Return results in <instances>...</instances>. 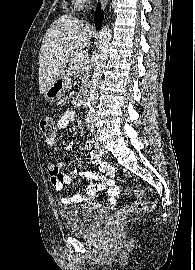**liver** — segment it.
<instances>
[{
	"label": "liver",
	"mask_w": 195,
	"mask_h": 270,
	"mask_svg": "<svg viewBox=\"0 0 195 270\" xmlns=\"http://www.w3.org/2000/svg\"><path fill=\"white\" fill-rule=\"evenodd\" d=\"M92 35V28L72 15H63L51 24L39 53L41 94L63 73L74 52L82 51L89 44Z\"/></svg>",
	"instance_id": "liver-1"
}]
</instances>
